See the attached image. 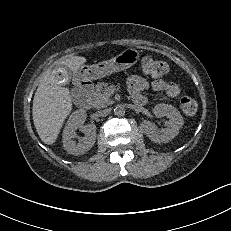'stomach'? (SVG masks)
<instances>
[{
  "instance_id": "obj_1",
  "label": "stomach",
  "mask_w": 231,
  "mask_h": 231,
  "mask_svg": "<svg viewBox=\"0 0 231 231\" xmlns=\"http://www.w3.org/2000/svg\"><path fill=\"white\" fill-rule=\"evenodd\" d=\"M140 53L136 49L128 48L114 58L94 65H82L76 71L80 80H96L111 73L124 71L139 60Z\"/></svg>"
}]
</instances>
